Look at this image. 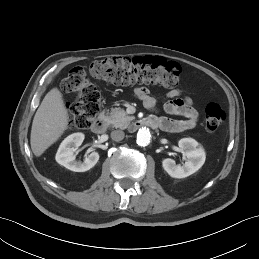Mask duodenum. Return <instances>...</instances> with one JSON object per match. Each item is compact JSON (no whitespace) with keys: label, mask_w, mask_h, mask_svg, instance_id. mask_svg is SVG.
Here are the masks:
<instances>
[{"label":"duodenum","mask_w":259,"mask_h":259,"mask_svg":"<svg viewBox=\"0 0 259 259\" xmlns=\"http://www.w3.org/2000/svg\"><path fill=\"white\" fill-rule=\"evenodd\" d=\"M107 122L104 117H97L91 126V129L96 134H103L106 131ZM135 128L149 127L153 129L160 128V121L156 118L150 117L142 120H137L134 122Z\"/></svg>","instance_id":"1"}]
</instances>
